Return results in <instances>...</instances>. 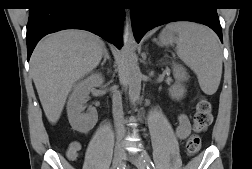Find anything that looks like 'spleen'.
Here are the masks:
<instances>
[{
	"mask_svg": "<svg viewBox=\"0 0 252 169\" xmlns=\"http://www.w3.org/2000/svg\"><path fill=\"white\" fill-rule=\"evenodd\" d=\"M171 26L178 35V56L197 75L202 91L214 94L222 74V56L215 34L209 28L194 23Z\"/></svg>",
	"mask_w": 252,
	"mask_h": 169,
	"instance_id": "1",
	"label": "spleen"
}]
</instances>
